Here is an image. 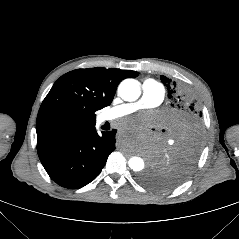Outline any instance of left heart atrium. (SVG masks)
Segmentation results:
<instances>
[{
    "mask_svg": "<svg viewBox=\"0 0 239 239\" xmlns=\"http://www.w3.org/2000/svg\"><path fill=\"white\" fill-rule=\"evenodd\" d=\"M121 125L124 128H140L143 126V119L141 117L130 118L122 121Z\"/></svg>",
    "mask_w": 239,
    "mask_h": 239,
    "instance_id": "1",
    "label": "left heart atrium"
}]
</instances>
